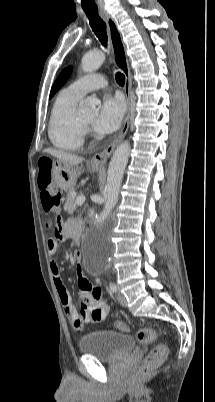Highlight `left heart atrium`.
Returning <instances> with one entry per match:
<instances>
[{
	"label": "left heart atrium",
	"mask_w": 215,
	"mask_h": 402,
	"mask_svg": "<svg viewBox=\"0 0 215 402\" xmlns=\"http://www.w3.org/2000/svg\"><path fill=\"white\" fill-rule=\"evenodd\" d=\"M125 112L124 101L119 96H104L94 128L103 134L112 133L120 126Z\"/></svg>",
	"instance_id": "left-heart-atrium-1"
}]
</instances>
